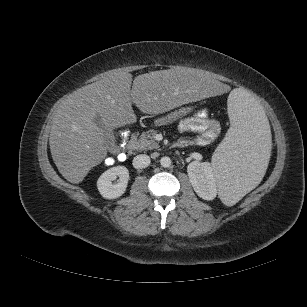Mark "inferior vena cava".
Instances as JSON below:
<instances>
[{"label": "inferior vena cava", "instance_id": "602c4592", "mask_svg": "<svg viewBox=\"0 0 307 307\" xmlns=\"http://www.w3.org/2000/svg\"><path fill=\"white\" fill-rule=\"evenodd\" d=\"M150 157L146 154H140L134 157L133 166L136 169L146 168L150 165Z\"/></svg>", "mask_w": 307, "mask_h": 307}]
</instances>
